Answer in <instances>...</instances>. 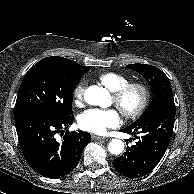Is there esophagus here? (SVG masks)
I'll return each mask as SVG.
<instances>
[{
  "label": "esophagus",
  "instance_id": "1",
  "mask_svg": "<svg viewBox=\"0 0 194 194\" xmlns=\"http://www.w3.org/2000/svg\"><path fill=\"white\" fill-rule=\"evenodd\" d=\"M91 138H92V140H104L105 139V137L97 136L95 134H92L91 135Z\"/></svg>",
  "mask_w": 194,
  "mask_h": 194
}]
</instances>
